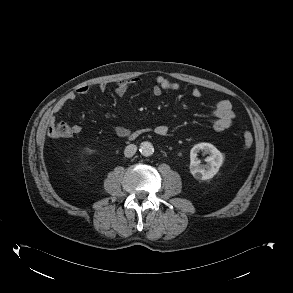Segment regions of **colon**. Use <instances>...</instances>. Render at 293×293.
<instances>
[{"instance_id":"obj_1","label":"colon","mask_w":293,"mask_h":293,"mask_svg":"<svg viewBox=\"0 0 293 293\" xmlns=\"http://www.w3.org/2000/svg\"><path fill=\"white\" fill-rule=\"evenodd\" d=\"M49 133L53 136H67L70 133V127L64 121L52 123L49 127ZM244 149H249L253 144V136L250 132L246 131L243 134Z\"/></svg>"}]
</instances>
